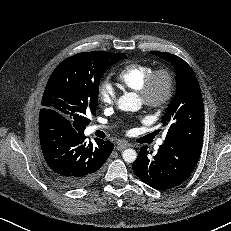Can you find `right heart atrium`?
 <instances>
[{
  "label": "right heart atrium",
  "mask_w": 231,
  "mask_h": 231,
  "mask_svg": "<svg viewBox=\"0 0 231 231\" xmlns=\"http://www.w3.org/2000/svg\"><path fill=\"white\" fill-rule=\"evenodd\" d=\"M97 97L101 104L105 106L113 105L116 98L114 87L107 81L101 82L98 86Z\"/></svg>",
  "instance_id": "right-heart-atrium-1"
}]
</instances>
